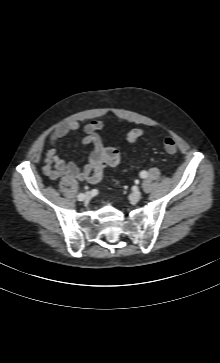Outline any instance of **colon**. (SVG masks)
I'll return each mask as SVG.
<instances>
[{"instance_id": "5ec220e1", "label": "colon", "mask_w": 220, "mask_h": 363, "mask_svg": "<svg viewBox=\"0 0 220 363\" xmlns=\"http://www.w3.org/2000/svg\"><path fill=\"white\" fill-rule=\"evenodd\" d=\"M142 135L143 131L141 129H133L128 133L127 139L130 143H134ZM163 145L168 153H175L177 151V143L171 137L165 138ZM103 160L106 166L115 167L120 162V153L114 147L106 148L103 152ZM102 177H103V168H97L92 172L90 179L92 182H98L101 180Z\"/></svg>"}]
</instances>
